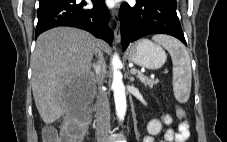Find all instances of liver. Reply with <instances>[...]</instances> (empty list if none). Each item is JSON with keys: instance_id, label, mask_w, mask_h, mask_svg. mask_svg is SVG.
Returning a JSON list of instances; mask_svg holds the SVG:
<instances>
[{"instance_id": "6515ba94", "label": "liver", "mask_w": 227, "mask_h": 142, "mask_svg": "<svg viewBox=\"0 0 227 142\" xmlns=\"http://www.w3.org/2000/svg\"><path fill=\"white\" fill-rule=\"evenodd\" d=\"M96 47L108 45L90 33L72 27H57L42 33L31 58L32 92L46 124L71 109V99L81 85L93 86L91 60Z\"/></svg>"}]
</instances>
